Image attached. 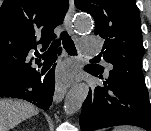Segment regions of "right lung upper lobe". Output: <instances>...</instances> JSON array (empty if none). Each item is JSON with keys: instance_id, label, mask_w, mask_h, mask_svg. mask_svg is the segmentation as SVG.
Returning <instances> with one entry per match:
<instances>
[{"instance_id": "cb5924a9", "label": "right lung upper lobe", "mask_w": 151, "mask_h": 131, "mask_svg": "<svg viewBox=\"0 0 151 131\" xmlns=\"http://www.w3.org/2000/svg\"><path fill=\"white\" fill-rule=\"evenodd\" d=\"M68 0H4L0 8V89L35 73L27 56L36 45L44 51L56 37Z\"/></svg>"}]
</instances>
